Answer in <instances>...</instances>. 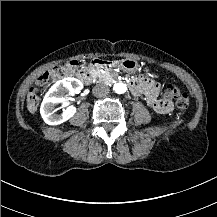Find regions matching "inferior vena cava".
<instances>
[{"instance_id":"602c4592","label":"inferior vena cava","mask_w":217,"mask_h":217,"mask_svg":"<svg viewBox=\"0 0 217 217\" xmlns=\"http://www.w3.org/2000/svg\"><path fill=\"white\" fill-rule=\"evenodd\" d=\"M110 91L109 87L104 84H98L93 88V94L95 96H104Z\"/></svg>"}]
</instances>
